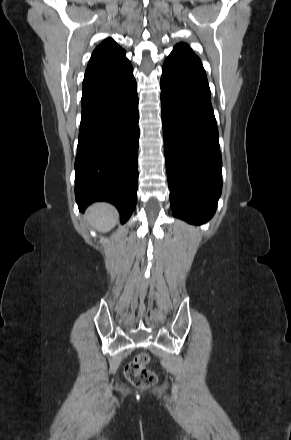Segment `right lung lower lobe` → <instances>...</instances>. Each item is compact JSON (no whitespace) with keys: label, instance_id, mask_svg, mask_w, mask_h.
<instances>
[{"label":"right lung lower lobe","instance_id":"right-lung-lower-lobe-1","mask_svg":"<svg viewBox=\"0 0 291 440\" xmlns=\"http://www.w3.org/2000/svg\"><path fill=\"white\" fill-rule=\"evenodd\" d=\"M75 160V196L80 211L107 201L126 222L138 188L139 113L133 68L85 78Z\"/></svg>","mask_w":291,"mask_h":440}]
</instances>
